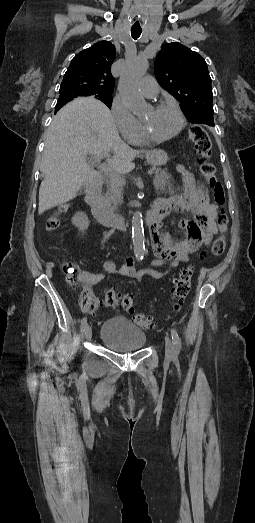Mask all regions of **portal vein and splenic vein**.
I'll use <instances>...</instances> for the list:
<instances>
[{
	"label": "portal vein and splenic vein",
	"mask_w": 255,
	"mask_h": 523,
	"mask_svg": "<svg viewBox=\"0 0 255 523\" xmlns=\"http://www.w3.org/2000/svg\"><path fill=\"white\" fill-rule=\"evenodd\" d=\"M93 156H95V154H93ZM100 160L101 156H96L95 162H98V164H95V167L98 172H101L103 175L116 173L115 167H112L111 169V164L109 162L103 164L102 162H100ZM148 174L149 176H152L153 172H148Z\"/></svg>",
	"instance_id": "portal-vein-and-splenic-vein-1"
}]
</instances>
